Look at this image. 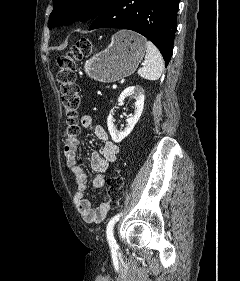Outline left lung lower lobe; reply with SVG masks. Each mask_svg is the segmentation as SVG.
<instances>
[{"mask_svg": "<svg viewBox=\"0 0 240 281\" xmlns=\"http://www.w3.org/2000/svg\"><path fill=\"white\" fill-rule=\"evenodd\" d=\"M179 0H110L89 30L122 28L136 31L160 50L168 65L176 31Z\"/></svg>", "mask_w": 240, "mask_h": 281, "instance_id": "obj_1", "label": "left lung lower lobe"}]
</instances>
